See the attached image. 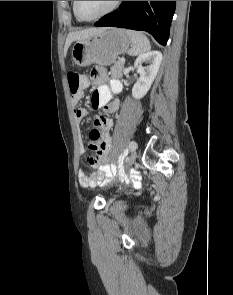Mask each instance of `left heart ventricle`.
<instances>
[{
	"mask_svg": "<svg viewBox=\"0 0 233 295\" xmlns=\"http://www.w3.org/2000/svg\"><path fill=\"white\" fill-rule=\"evenodd\" d=\"M114 1H78L81 16L91 18L107 10Z\"/></svg>",
	"mask_w": 233,
	"mask_h": 295,
	"instance_id": "left-heart-ventricle-1",
	"label": "left heart ventricle"
}]
</instances>
